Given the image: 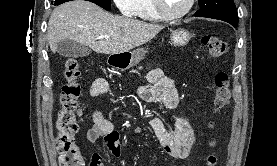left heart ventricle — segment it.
Masks as SVG:
<instances>
[{
	"mask_svg": "<svg viewBox=\"0 0 277 166\" xmlns=\"http://www.w3.org/2000/svg\"><path fill=\"white\" fill-rule=\"evenodd\" d=\"M188 0H163L165 8L170 13L180 12L187 4Z\"/></svg>",
	"mask_w": 277,
	"mask_h": 166,
	"instance_id": "obj_1",
	"label": "left heart ventricle"
}]
</instances>
